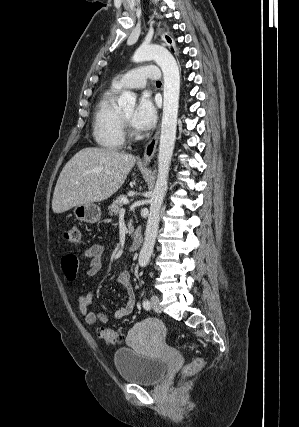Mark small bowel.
I'll use <instances>...</instances> for the list:
<instances>
[{
	"mask_svg": "<svg viewBox=\"0 0 299 427\" xmlns=\"http://www.w3.org/2000/svg\"><path fill=\"white\" fill-rule=\"evenodd\" d=\"M105 249L99 243H93L86 247L80 248L76 253H69L62 258L61 265L64 275L69 281H74L79 276L78 259L88 260L86 276H96L103 267V257ZM118 283L127 291L125 304L114 313V319L121 320L132 313L135 306V294L132 289L131 275L128 271H122L118 275ZM92 293L85 292L79 295L77 301V309L81 316L84 317L88 325L100 323L106 325L109 318L104 313H95L89 310V305L92 301Z\"/></svg>",
	"mask_w": 299,
	"mask_h": 427,
	"instance_id": "small-bowel-1",
	"label": "small bowel"
}]
</instances>
